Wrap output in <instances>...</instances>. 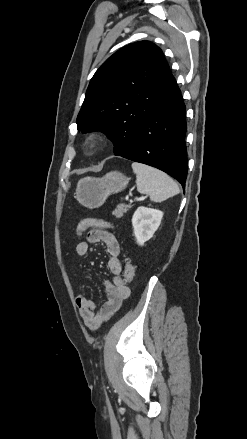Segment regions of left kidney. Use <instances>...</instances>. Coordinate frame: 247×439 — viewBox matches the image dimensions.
<instances>
[{
	"mask_svg": "<svg viewBox=\"0 0 247 439\" xmlns=\"http://www.w3.org/2000/svg\"><path fill=\"white\" fill-rule=\"evenodd\" d=\"M162 218L163 212L160 210L143 206L137 208L132 217V226L136 242L140 246H143L146 241L153 237Z\"/></svg>",
	"mask_w": 247,
	"mask_h": 439,
	"instance_id": "5707ae66",
	"label": "left kidney"
}]
</instances>
